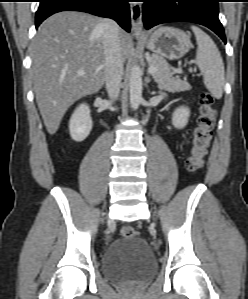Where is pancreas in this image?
<instances>
[{
    "label": "pancreas",
    "mask_w": 248,
    "mask_h": 299,
    "mask_svg": "<svg viewBox=\"0 0 248 299\" xmlns=\"http://www.w3.org/2000/svg\"><path fill=\"white\" fill-rule=\"evenodd\" d=\"M150 66H154L157 71L153 74L154 80L160 88L171 92L185 91L190 88L189 83L182 81L178 77H173V72L167 61L158 55L151 56Z\"/></svg>",
    "instance_id": "obj_1"
}]
</instances>
